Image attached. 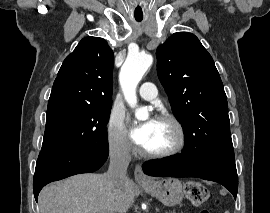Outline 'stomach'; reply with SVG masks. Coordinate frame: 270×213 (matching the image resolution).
<instances>
[{
  "label": "stomach",
  "mask_w": 270,
  "mask_h": 213,
  "mask_svg": "<svg viewBox=\"0 0 270 213\" xmlns=\"http://www.w3.org/2000/svg\"><path fill=\"white\" fill-rule=\"evenodd\" d=\"M141 186L166 206H174L183 198L182 182L176 178L157 179L153 180L151 184Z\"/></svg>",
  "instance_id": "obj_1"
}]
</instances>
